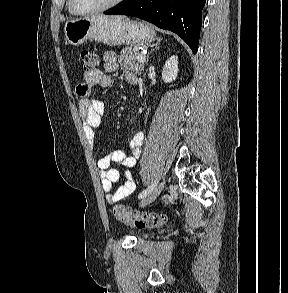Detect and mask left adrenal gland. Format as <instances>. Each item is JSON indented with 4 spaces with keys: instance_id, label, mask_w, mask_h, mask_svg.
Listing matches in <instances>:
<instances>
[{
    "instance_id": "obj_1",
    "label": "left adrenal gland",
    "mask_w": 288,
    "mask_h": 293,
    "mask_svg": "<svg viewBox=\"0 0 288 293\" xmlns=\"http://www.w3.org/2000/svg\"><path fill=\"white\" fill-rule=\"evenodd\" d=\"M160 41H161V39L160 38H157V42H156V44H155V47H154V49H152L148 54H147V57H146V63L148 62V60H149V55H150V53H152L153 51H155V50H158L159 49V44H160Z\"/></svg>"
}]
</instances>
